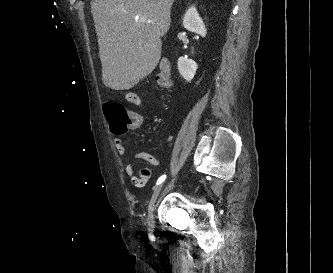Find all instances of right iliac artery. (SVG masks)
Returning a JSON list of instances; mask_svg holds the SVG:
<instances>
[{"instance_id": "obj_1", "label": "right iliac artery", "mask_w": 333, "mask_h": 273, "mask_svg": "<svg viewBox=\"0 0 333 273\" xmlns=\"http://www.w3.org/2000/svg\"><path fill=\"white\" fill-rule=\"evenodd\" d=\"M166 179V175H162L161 177H159V179L157 180V185L161 184L164 180ZM150 238H152V235H149Z\"/></svg>"}]
</instances>
